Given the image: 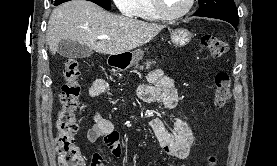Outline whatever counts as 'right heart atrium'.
<instances>
[{
	"instance_id": "right-heart-atrium-1",
	"label": "right heart atrium",
	"mask_w": 277,
	"mask_h": 166,
	"mask_svg": "<svg viewBox=\"0 0 277 166\" xmlns=\"http://www.w3.org/2000/svg\"><path fill=\"white\" fill-rule=\"evenodd\" d=\"M121 13L131 16L137 6L138 0H113Z\"/></svg>"
}]
</instances>
